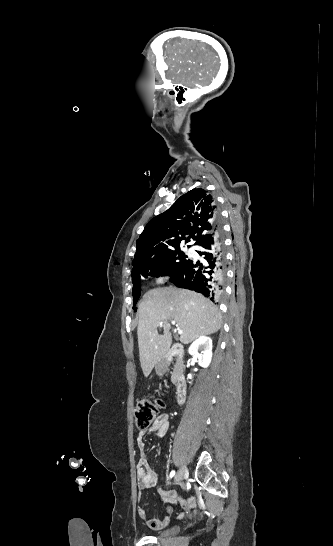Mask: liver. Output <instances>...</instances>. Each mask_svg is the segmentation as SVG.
<instances>
[{"label":"liver","instance_id":"obj_1","mask_svg":"<svg viewBox=\"0 0 333 546\" xmlns=\"http://www.w3.org/2000/svg\"><path fill=\"white\" fill-rule=\"evenodd\" d=\"M138 314L139 356L145 377L170 349L172 320L183 331L179 338L183 344L216 333L222 323L221 312L209 299L172 286L148 291L138 305ZM160 323H163V335L157 332Z\"/></svg>","mask_w":333,"mask_h":546}]
</instances>
